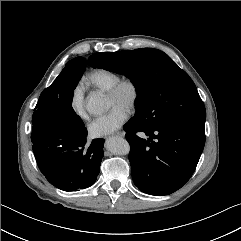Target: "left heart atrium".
Segmentation results:
<instances>
[{"label":"left heart atrium","mask_w":241,"mask_h":241,"mask_svg":"<svg viewBox=\"0 0 241 241\" xmlns=\"http://www.w3.org/2000/svg\"><path fill=\"white\" fill-rule=\"evenodd\" d=\"M127 109L114 106L109 113L96 118L89 125V134L93 138L110 135L118 130L127 120Z\"/></svg>","instance_id":"1"}]
</instances>
